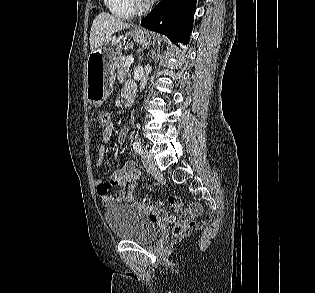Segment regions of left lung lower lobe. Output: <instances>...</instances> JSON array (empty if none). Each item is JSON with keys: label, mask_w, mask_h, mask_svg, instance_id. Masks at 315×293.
<instances>
[{"label": "left lung lower lobe", "mask_w": 315, "mask_h": 293, "mask_svg": "<svg viewBox=\"0 0 315 293\" xmlns=\"http://www.w3.org/2000/svg\"><path fill=\"white\" fill-rule=\"evenodd\" d=\"M196 0H160L141 21L149 30L166 35L173 42L187 44L193 25Z\"/></svg>", "instance_id": "1"}]
</instances>
